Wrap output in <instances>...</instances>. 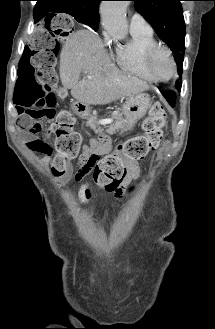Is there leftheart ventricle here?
I'll return each mask as SVG.
<instances>
[{"label": "left heart ventricle", "mask_w": 215, "mask_h": 329, "mask_svg": "<svg viewBox=\"0 0 215 329\" xmlns=\"http://www.w3.org/2000/svg\"><path fill=\"white\" fill-rule=\"evenodd\" d=\"M154 67L159 77L167 78L172 73V65L165 52H161L157 55Z\"/></svg>", "instance_id": "1"}]
</instances>
